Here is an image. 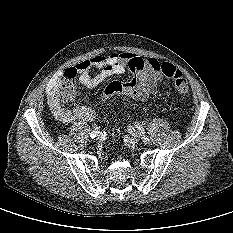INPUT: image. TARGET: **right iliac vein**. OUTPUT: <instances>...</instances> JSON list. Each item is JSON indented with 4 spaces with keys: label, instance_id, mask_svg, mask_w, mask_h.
I'll use <instances>...</instances> for the list:
<instances>
[{
    "label": "right iliac vein",
    "instance_id": "obj_1",
    "mask_svg": "<svg viewBox=\"0 0 233 233\" xmlns=\"http://www.w3.org/2000/svg\"><path fill=\"white\" fill-rule=\"evenodd\" d=\"M96 140H97V141H101V140H102L101 134H97V135H96Z\"/></svg>",
    "mask_w": 233,
    "mask_h": 233
}]
</instances>
